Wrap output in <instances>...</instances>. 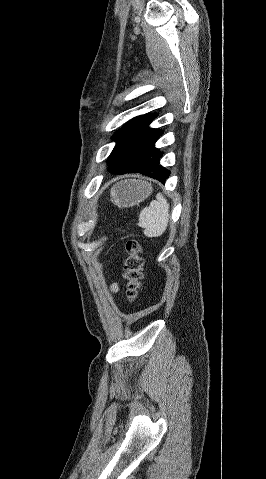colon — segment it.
Masks as SVG:
<instances>
[{
    "label": "colon",
    "mask_w": 266,
    "mask_h": 479,
    "mask_svg": "<svg viewBox=\"0 0 266 479\" xmlns=\"http://www.w3.org/2000/svg\"><path fill=\"white\" fill-rule=\"evenodd\" d=\"M126 257L124 261L125 292L130 301L139 296L144 278L143 246L134 238L125 244Z\"/></svg>",
    "instance_id": "colon-1"
}]
</instances>
